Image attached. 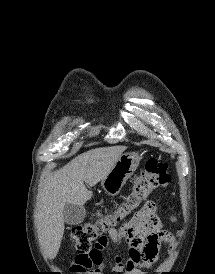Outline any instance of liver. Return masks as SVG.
<instances>
[{
  "label": "liver",
  "mask_w": 215,
  "mask_h": 274,
  "mask_svg": "<svg viewBox=\"0 0 215 274\" xmlns=\"http://www.w3.org/2000/svg\"><path fill=\"white\" fill-rule=\"evenodd\" d=\"M125 150V146L92 149L46 178L36 211L39 243L45 257L54 259L59 251L64 234V206H83L90 200L92 192L84 182L95 186L103 180Z\"/></svg>",
  "instance_id": "obj_1"
}]
</instances>
